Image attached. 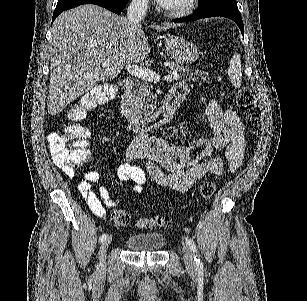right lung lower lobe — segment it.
<instances>
[{
  "label": "right lung lower lobe",
  "instance_id": "98d812e1",
  "mask_svg": "<svg viewBox=\"0 0 307 301\" xmlns=\"http://www.w3.org/2000/svg\"><path fill=\"white\" fill-rule=\"evenodd\" d=\"M126 3L127 0H58L57 6L53 13L52 22L63 11L82 4H96L114 13L120 14Z\"/></svg>",
  "mask_w": 307,
  "mask_h": 301
}]
</instances>
